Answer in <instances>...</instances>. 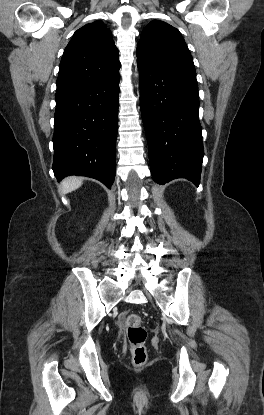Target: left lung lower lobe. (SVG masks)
<instances>
[{"label":"left lung lower lobe","instance_id":"obj_1","mask_svg":"<svg viewBox=\"0 0 264 415\" xmlns=\"http://www.w3.org/2000/svg\"><path fill=\"white\" fill-rule=\"evenodd\" d=\"M137 63L152 177L159 184L186 178L198 186L204 150L196 77Z\"/></svg>","mask_w":264,"mask_h":415}]
</instances>
